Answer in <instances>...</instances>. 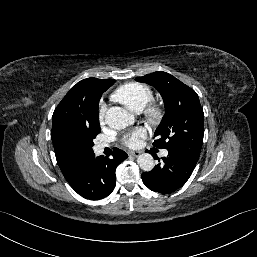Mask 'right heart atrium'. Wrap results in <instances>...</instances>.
I'll return each mask as SVG.
<instances>
[{"label":"right heart atrium","mask_w":257,"mask_h":257,"mask_svg":"<svg viewBox=\"0 0 257 257\" xmlns=\"http://www.w3.org/2000/svg\"><path fill=\"white\" fill-rule=\"evenodd\" d=\"M104 114H105V106H101V110H100V120L103 121L104 119Z\"/></svg>","instance_id":"1"}]
</instances>
